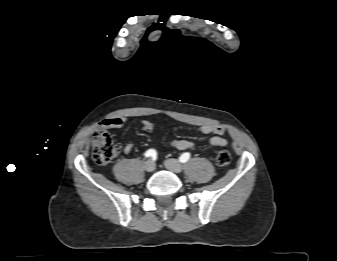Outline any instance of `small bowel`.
I'll return each instance as SVG.
<instances>
[{
	"label": "small bowel",
	"instance_id": "c3829d8e",
	"mask_svg": "<svg viewBox=\"0 0 337 261\" xmlns=\"http://www.w3.org/2000/svg\"><path fill=\"white\" fill-rule=\"evenodd\" d=\"M123 119L120 117H112L100 122V129L120 128L123 125ZM141 129L146 132H153L156 129V124L143 120L141 122ZM199 131L202 134L210 135V144L216 147H226L228 140L224 137L225 129L221 125L216 124H204L199 127ZM172 145L177 150H189L195 148V142L186 139H175ZM133 145L127 143L123 147V152L128 154L132 151Z\"/></svg>",
	"mask_w": 337,
	"mask_h": 261
}]
</instances>
